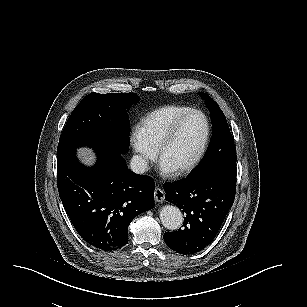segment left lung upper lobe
<instances>
[{
    "label": "left lung upper lobe",
    "mask_w": 307,
    "mask_h": 307,
    "mask_svg": "<svg viewBox=\"0 0 307 307\" xmlns=\"http://www.w3.org/2000/svg\"><path fill=\"white\" fill-rule=\"evenodd\" d=\"M200 96L210 110L213 135L204 158L188 177L209 171H223L236 175V148L225 115L210 96L205 93H200Z\"/></svg>",
    "instance_id": "1"
}]
</instances>
